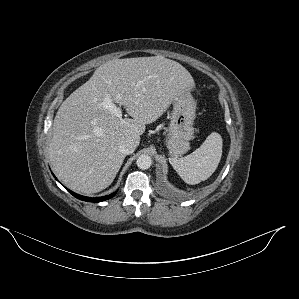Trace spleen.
Masks as SVG:
<instances>
[{
    "label": "spleen",
    "instance_id": "3e777b00",
    "mask_svg": "<svg viewBox=\"0 0 299 299\" xmlns=\"http://www.w3.org/2000/svg\"><path fill=\"white\" fill-rule=\"evenodd\" d=\"M222 137L212 132L201 146L182 158H170L169 162L187 184L195 185L207 180L216 170L222 156Z\"/></svg>",
    "mask_w": 299,
    "mask_h": 299
}]
</instances>
